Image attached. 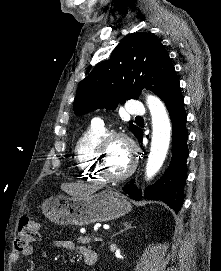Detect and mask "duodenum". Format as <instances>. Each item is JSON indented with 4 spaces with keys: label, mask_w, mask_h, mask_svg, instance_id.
<instances>
[{
    "label": "duodenum",
    "mask_w": 221,
    "mask_h": 271,
    "mask_svg": "<svg viewBox=\"0 0 221 271\" xmlns=\"http://www.w3.org/2000/svg\"><path fill=\"white\" fill-rule=\"evenodd\" d=\"M85 263L88 264V265H93L96 263L97 261V255L96 254H91L89 256H87L85 259H84Z\"/></svg>",
    "instance_id": "obj_1"
}]
</instances>
